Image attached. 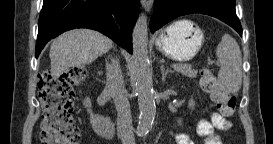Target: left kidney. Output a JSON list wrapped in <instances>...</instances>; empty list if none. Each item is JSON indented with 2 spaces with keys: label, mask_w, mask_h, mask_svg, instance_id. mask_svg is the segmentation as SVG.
Masks as SVG:
<instances>
[{
  "label": "left kidney",
  "mask_w": 273,
  "mask_h": 144,
  "mask_svg": "<svg viewBox=\"0 0 273 144\" xmlns=\"http://www.w3.org/2000/svg\"><path fill=\"white\" fill-rule=\"evenodd\" d=\"M188 106L193 109L195 107V101L193 99H190L188 102ZM178 123L181 124V119L178 120Z\"/></svg>",
  "instance_id": "5707ae66"
}]
</instances>
